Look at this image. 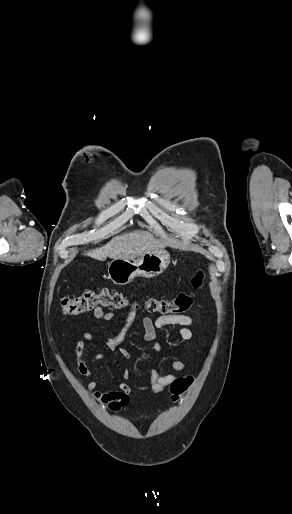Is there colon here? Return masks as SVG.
Returning <instances> with one entry per match:
<instances>
[{
  "mask_svg": "<svg viewBox=\"0 0 292 514\" xmlns=\"http://www.w3.org/2000/svg\"><path fill=\"white\" fill-rule=\"evenodd\" d=\"M203 286V273L199 272L192 280V289L179 294L175 299L148 298L143 309L160 315H181L187 313L195 300L196 292ZM129 299L122 291L86 290L77 296H64L61 299L63 312L68 316H77L97 310H121L127 307ZM196 378L195 376L193 377ZM192 376L185 373L181 379L172 383L169 394L178 399L192 383Z\"/></svg>",
  "mask_w": 292,
  "mask_h": 514,
  "instance_id": "colon-1",
  "label": "colon"
}]
</instances>
